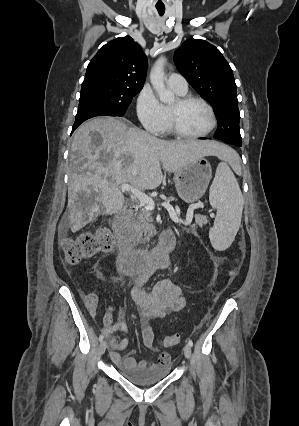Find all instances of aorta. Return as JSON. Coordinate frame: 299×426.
<instances>
[{
	"label": "aorta",
	"instance_id": "aorta-1",
	"mask_svg": "<svg viewBox=\"0 0 299 426\" xmlns=\"http://www.w3.org/2000/svg\"><path fill=\"white\" fill-rule=\"evenodd\" d=\"M165 63V57H160L156 60L150 72V82L153 89L158 94L160 101L163 103H170L174 100V94L166 89L165 86Z\"/></svg>",
	"mask_w": 299,
	"mask_h": 426
}]
</instances>
